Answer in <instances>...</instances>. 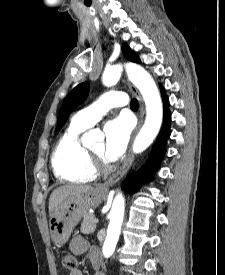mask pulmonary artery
I'll return each instance as SVG.
<instances>
[{
    "label": "pulmonary artery",
    "instance_id": "1",
    "mask_svg": "<svg viewBox=\"0 0 225 275\" xmlns=\"http://www.w3.org/2000/svg\"><path fill=\"white\" fill-rule=\"evenodd\" d=\"M127 103L128 98L125 93L108 91L90 106L77 112L72 118V123L88 128L94 125L109 109L123 107Z\"/></svg>",
    "mask_w": 225,
    "mask_h": 275
}]
</instances>
